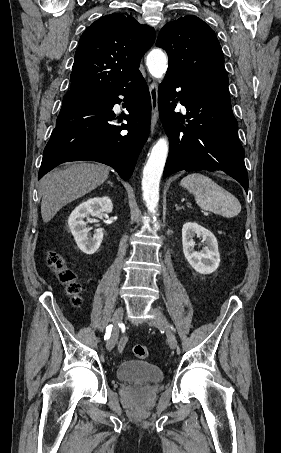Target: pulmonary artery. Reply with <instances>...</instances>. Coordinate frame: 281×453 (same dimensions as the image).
<instances>
[{"instance_id":"obj_1","label":"pulmonary artery","mask_w":281,"mask_h":453,"mask_svg":"<svg viewBox=\"0 0 281 453\" xmlns=\"http://www.w3.org/2000/svg\"><path fill=\"white\" fill-rule=\"evenodd\" d=\"M113 109H114L115 111H118V110L120 109V105H119L118 102H115V103H114Z\"/></svg>"}]
</instances>
